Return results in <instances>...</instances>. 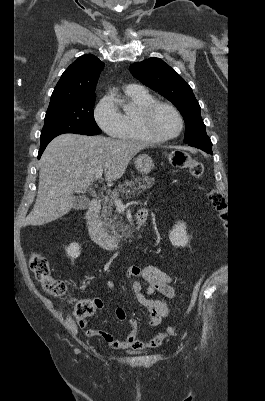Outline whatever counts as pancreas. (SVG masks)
<instances>
[{
	"instance_id": "1",
	"label": "pancreas",
	"mask_w": 265,
	"mask_h": 401,
	"mask_svg": "<svg viewBox=\"0 0 265 401\" xmlns=\"http://www.w3.org/2000/svg\"><path fill=\"white\" fill-rule=\"evenodd\" d=\"M154 180L155 178H149V176H137L135 180H124L123 184H118L117 188H113L109 198H107V196L104 198L100 219L103 221L105 229H107L112 237H115V239H122L129 229L127 225H123L121 221H117L120 217L118 211L115 209V198L124 196L125 192L126 196L136 194V190H139V188L146 190V188L152 186ZM135 184H138V186H135Z\"/></svg>"
}]
</instances>
